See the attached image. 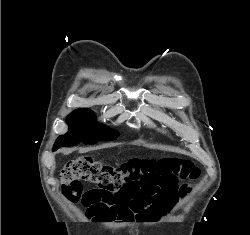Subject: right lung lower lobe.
<instances>
[{"label": "right lung lower lobe", "instance_id": "98d812e1", "mask_svg": "<svg viewBox=\"0 0 250 235\" xmlns=\"http://www.w3.org/2000/svg\"><path fill=\"white\" fill-rule=\"evenodd\" d=\"M55 150H57V148H56V147H53V151H55Z\"/></svg>", "mask_w": 250, "mask_h": 235}]
</instances>
